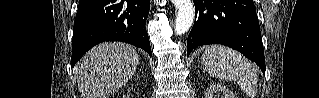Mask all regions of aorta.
Returning a JSON list of instances; mask_svg holds the SVG:
<instances>
[{"instance_id":"1","label":"aorta","mask_w":319,"mask_h":98,"mask_svg":"<svg viewBox=\"0 0 319 98\" xmlns=\"http://www.w3.org/2000/svg\"><path fill=\"white\" fill-rule=\"evenodd\" d=\"M176 9L175 32L178 35L187 32L194 20V7L192 0H172Z\"/></svg>"}]
</instances>
